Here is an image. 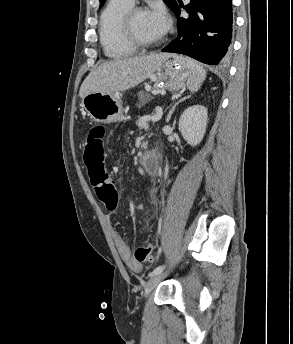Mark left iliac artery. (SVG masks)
Returning <instances> with one entry per match:
<instances>
[{
  "label": "left iliac artery",
  "instance_id": "44dca946",
  "mask_svg": "<svg viewBox=\"0 0 293 344\" xmlns=\"http://www.w3.org/2000/svg\"><path fill=\"white\" fill-rule=\"evenodd\" d=\"M164 267V265L157 266L149 275L152 276L161 273L164 270Z\"/></svg>",
  "mask_w": 293,
  "mask_h": 344
}]
</instances>
